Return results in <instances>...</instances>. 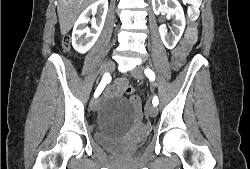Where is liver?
<instances>
[{"label":"liver","mask_w":250,"mask_h":169,"mask_svg":"<svg viewBox=\"0 0 250 169\" xmlns=\"http://www.w3.org/2000/svg\"><path fill=\"white\" fill-rule=\"evenodd\" d=\"M91 2L94 0H58L57 12L61 34H67L71 30L81 10Z\"/></svg>","instance_id":"liver-1"}]
</instances>
